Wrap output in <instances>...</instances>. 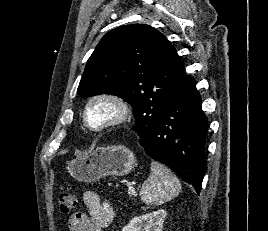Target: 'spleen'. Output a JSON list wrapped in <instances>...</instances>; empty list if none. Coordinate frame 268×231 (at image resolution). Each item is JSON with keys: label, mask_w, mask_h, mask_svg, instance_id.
Wrapping results in <instances>:
<instances>
[{"label": "spleen", "mask_w": 268, "mask_h": 231, "mask_svg": "<svg viewBox=\"0 0 268 231\" xmlns=\"http://www.w3.org/2000/svg\"><path fill=\"white\" fill-rule=\"evenodd\" d=\"M180 191L181 184L171 170L152 161L151 173L140 191L141 201L147 205H160L177 197Z\"/></svg>", "instance_id": "1"}]
</instances>
